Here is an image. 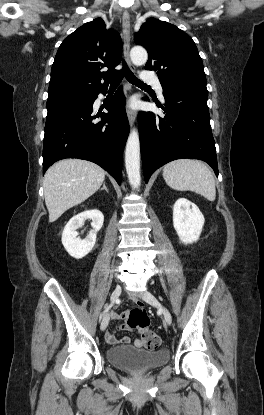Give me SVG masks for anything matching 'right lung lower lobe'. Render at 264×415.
Returning a JSON list of instances; mask_svg holds the SVG:
<instances>
[{
    "instance_id": "obj_1",
    "label": "right lung lower lobe",
    "mask_w": 264,
    "mask_h": 415,
    "mask_svg": "<svg viewBox=\"0 0 264 415\" xmlns=\"http://www.w3.org/2000/svg\"><path fill=\"white\" fill-rule=\"evenodd\" d=\"M100 92L47 104L43 174L58 160L78 158L98 164L120 185L123 149L129 134L124 96L120 87L106 107L108 113L95 114L93 103ZM98 117L102 120L97 121Z\"/></svg>"
}]
</instances>
